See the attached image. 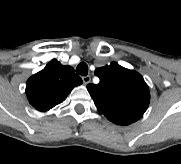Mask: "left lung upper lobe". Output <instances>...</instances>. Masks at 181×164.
<instances>
[{
	"mask_svg": "<svg viewBox=\"0 0 181 164\" xmlns=\"http://www.w3.org/2000/svg\"><path fill=\"white\" fill-rule=\"evenodd\" d=\"M98 84L87 89L102 114L118 125H129L139 120L150 102L149 88L143 77L116 62L95 70Z\"/></svg>",
	"mask_w": 181,
	"mask_h": 164,
	"instance_id": "obj_1",
	"label": "left lung upper lobe"
}]
</instances>
